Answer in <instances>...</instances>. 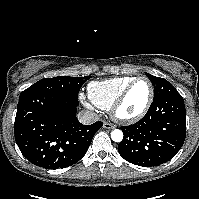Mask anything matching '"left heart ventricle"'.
<instances>
[{
	"label": "left heart ventricle",
	"instance_id": "obj_1",
	"mask_svg": "<svg viewBox=\"0 0 199 199\" xmlns=\"http://www.w3.org/2000/svg\"><path fill=\"white\" fill-rule=\"evenodd\" d=\"M150 94V86L144 80L138 81L130 90L121 108L123 115H135L141 111Z\"/></svg>",
	"mask_w": 199,
	"mask_h": 199
}]
</instances>
